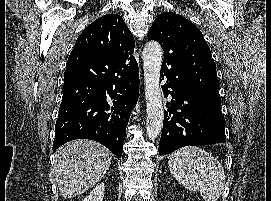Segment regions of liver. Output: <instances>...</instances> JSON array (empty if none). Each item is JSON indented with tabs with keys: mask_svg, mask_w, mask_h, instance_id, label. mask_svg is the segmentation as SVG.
<instances>
[{
	"mask_svg": "<svg viewBox=\"0 0 271 201\" xmlns=\"http://www.w3.org/2000/svg\"><path fill=\"white\" fill-rule=\"evenodd\" d=\"M111 152L92 140H74L58 150L54 180L60 194L71 199L94 187L106 174Z\"/></svg>",
	"mask_w": 271,
	"mask_h": 201,
	"instance_id": "6515ba94",
	"label": "liver"
}]
</instances>
